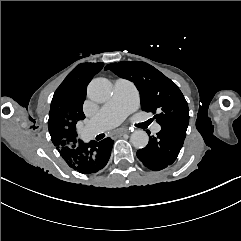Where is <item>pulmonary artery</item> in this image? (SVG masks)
Returning a JSON list of instances; mask_svg holds the SVG:
<instances>
[{"mask_svg":"<svg viewBox=\"0 0 241 241\" xmlns=\"http://www.w3.org/2000/svg\"><path fill=\"white\" fill-rule=\"evenodd\" d=\"M138 96L132 84L128 81L120 85L115 83V93L113 97L101 108V113L95 115L88 123V130L91 133L105 132L117 125L129 113L133 111L132 104L137 102ZM151 132L156 133L162 130L160 123H154L150 127Z\"/></svg>","mask_w":241,"mask_h":241,"instance_id":"obj_1","label":"pulmonary artery"}]
</instances>
